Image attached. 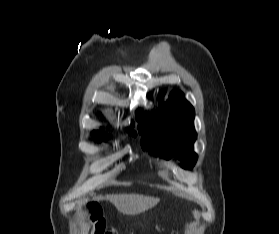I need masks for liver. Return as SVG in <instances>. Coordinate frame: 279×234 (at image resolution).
Wrapping results in <instances>:
<instances>
[{
  "label": "liver",
  "mask_w": 279,
  "mask_h": 234,
  "mask_svg": "<svg viewBox=\"0 0 279 234\" xmlns=\"http://www.w3.org/2000/svg\"><path fill=\"white\" fill-rule=\"evenodd\" d=\"M107 199L114 204L116 209L125 215L140 214L159 202V198L138 194H116L109 195Z\"/></svg>",
  "instance_id": "liver-1"
}]
</instances>
